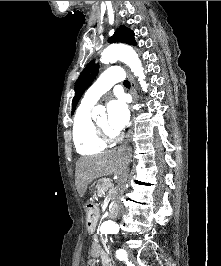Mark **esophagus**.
Listing matches in <instances>:
<instances>
[{
    "mask_svg": "<svg viewBox=\"0 0 221 266\" xmlns=\"http://www.w3.org/2000/svg\"><path fill=\"white\" fill-rule=\"evenodd\" d=\"M127 76H128V79H129L130 85H131L130 93L132 95V105H133L137 101L136 86H135L134 78H133V76L131 75V73L129 71H127ZM131 110L133 112L132 108H131ZM131 135H132V129L129 130V132H128L127 136H126L125 143L129 142Z\"/></svg>",
    "mask_w": 221,
    "mask_h": 266,
    "instance_id": "esophagus-1",
    "label": "esophagus"
}]
</instances>
